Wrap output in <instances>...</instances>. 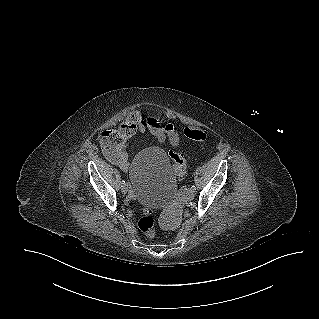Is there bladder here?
<instances>
[{"mask_svg": "<svg viewBox=\"0 0 319 319\" xmlns=\"http://www.w3.org/2000/svg\"><path fill=\"white\" fill-rule=\"evenodd\" d=\"M135 198L153 210L167 205L176 191V178L168 154L161 148L140 151L128 168Z\"/></svg>", "mask_w": 319, "mask_h": 319, "instance_id": "obj_1", "label": "bladder"}]
</instances>
